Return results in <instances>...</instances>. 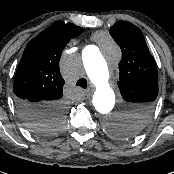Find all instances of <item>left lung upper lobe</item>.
<instances>
[{"label": "left lung upper lobe", "instance_id": "1", "mask_svg": "<svg viewBox=\"0 0 174 174\" xmlns=\"http://www.w3.org/2000/svg\"><path fill=\"white\" fill-rule=\"evenodd\" d=\"M110 34L122 51L117 84L130 109L126 122H116L110 130L119 138H128L146 126L154 111L158 95L157 68L137 26L118 21L110 29Z\"/></svg>", "mask_w": 174, "mask_h": 174}]
</instances>
